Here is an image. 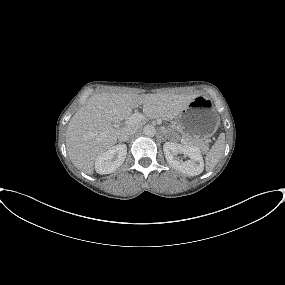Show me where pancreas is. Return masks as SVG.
<instances>
[{
    "mask_svg": "<svg viewBox=\"0 0 285 285\" xmlns=\"http://www.w3.org/2000/svg\"><path fill=\"white\" fill-rule=\"evenodd\" d=\"M168 131L172 132L174 130H172V128H169ZM186 137L189 138V139H187L188 144L198 147L204 153L207 152L208 145L206 143H204L202 140H200V139H193V138H190L188 136H186Z\"/></svg>",
    "mask_w": 285,
    "mask_h": 285,
    "instance_id": "1",
    "label": "pancreas"
}]
</instances>
